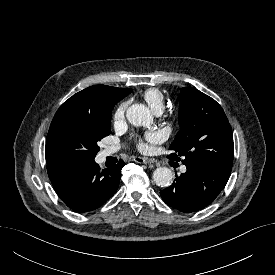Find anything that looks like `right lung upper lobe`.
Listing matches in <instances>:
<instances>
[{
  "label": "right lung upper lobe",
  "instance_id": "cb5924a9",
  "mask_svg": "<svg viewBox=\"0 0 275 275\" xmlns=\"http://www.w3.org/2000/svg\"><path fill=\"white\" fill-rule=\"evenodd\" d=\"M130 92L131 89L106 85L88 87L70 97L60 106L52 120L51 126L68 118L104 117L110 111L112 112L114 105Z\"/></svg>",
  "mask_w": 275,
  "mask_h": 275
}]
</instances>
